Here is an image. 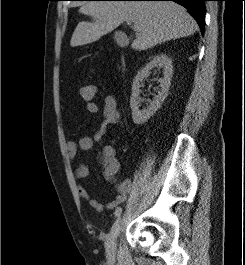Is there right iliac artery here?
<instances>
[{
    "label": "right iliac artery",
    "mask_w": 245,
    "mask_h": 265,
    "mask_svg": "<svg viewBox=\"0 0 245 265\" xmlns=\"http://www.w3.org/2000/svg\"><path fill=\"white\" fill-rule=\"evenodd\" d=\"M121 212H122V208L121 207H117L116 210H115V212H114L115 217H119L120 214H121Z\"/></svg>",
    "instance_id": "obj_1"
}]
</instances>
